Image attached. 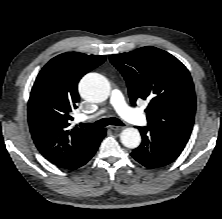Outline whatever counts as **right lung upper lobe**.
Listing matches in <instances>:
<instances>
[{"label": "right lung upper lobe", "mask_w": 222, "mask_h": 219, "mask_svg": "<svg viewBox=\"0 0 222 219\" xmlns=\"http://www.w3.org/2000/svg\"><path fill=\"white\" fill-rule=\"evenodd\" d=\"M105 60L104 56L63 53L51 59L36 78L28 102L30 132L40 153L58 167H70L98 131L68 126L79 101V80Z\"/></svg>", "instance_id": "cb5924a9"}]
</instances>
